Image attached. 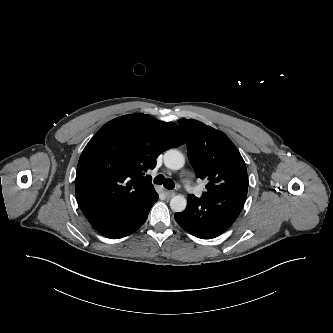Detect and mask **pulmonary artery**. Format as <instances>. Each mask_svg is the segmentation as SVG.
Returning <instances> with one entry per match:
<instances>
[{"instance_id":"e3ab8cb5","label":"pulmonary artery","mask_w":333,"mask_h":333,"mask_svg":"<svg viewBox=\"0 0 333 333\" xmlns=\"http://www.w3.org/2000/svg\"><path fill=\"white\" fill-rule=\"evenodd\" d=\"M186 188L188 190H194V188L190 185V182L189 181H186Z\"/></svg>"}]
</instances>
